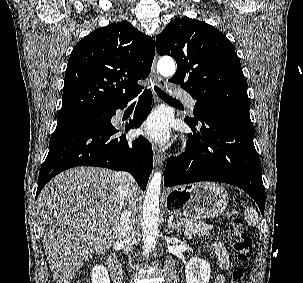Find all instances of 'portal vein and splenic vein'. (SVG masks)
<instances>
[{
	"label": "portal vein and splenic vein",
	"instance_id": "obj_1",
	"mask_svg": "<svg viewBox=\"0 0 303 283\" xmlns=\"http://www.w3.org/2000/svg\"><path fill=\"white\" fill-rule=\"evenodd\" d=\"M177 225H178V226H181V223H180V222H178V223H177Z\"/></svg>",
	"mask_w": 303,
	"mask_h": 283
}]
</instances>
